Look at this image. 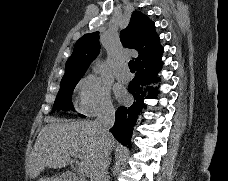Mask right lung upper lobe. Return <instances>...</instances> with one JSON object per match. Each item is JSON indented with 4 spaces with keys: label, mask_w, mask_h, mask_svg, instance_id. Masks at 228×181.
<instances>
[{
    "label": "right lung upper lobe",
    "mask_w": 228,
    "mask_h": 181,
    "mask_svg": "<svg viewBox=\"0 0 228 181\" xmlns=\"http://www.w3.org/2000/svg\"><path fill=\"white\" fill-rule=\"evenodd\" d=\"M120 39L124 47L138 51L136 65L161 48L154 23L139 11L132 13L129 25L120 33ZM99 49V32L85 34L80 38L66 63L65 75L61 82L80 80L98 55Z\"/></svg>",
    "instance_id": "1"
}]
</instances>
